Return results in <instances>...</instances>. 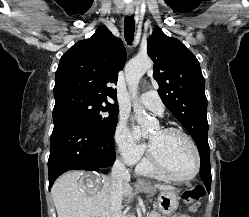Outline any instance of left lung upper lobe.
Returning a JSON list of instances; mask_svg holds the SVG:
<instances>
[{
    "label": "left lung upper lobe",
    "mask_w": 249,
    "mask_h": 217,
    "mask_svg": "<svg viewBox=\"0 0 249 217\" xmlns=\"http://www.w3.org/2000/svg\"><path fill=\"white\" fill-rule=\"evenodd\" d=\"M147 53L154 61L153 77L163 103L198 147L200 174L211 175L205 79L198 60L183 43L166 36L158 27L148 39Z\"/></svg>",
    "instance_id": "5c2ea615"
}]
</instances>
